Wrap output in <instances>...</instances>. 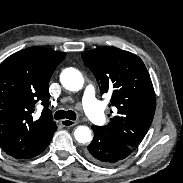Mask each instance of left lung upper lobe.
Segmentation results:
<instances>
[{
	"instance_id": "5c2ea615",
	"label": "left lung upper lobe",
	"mask_w": 183,
	"mask_h": 183,
	"mask_svg": "<svg viewBox=\"0 0 183 183\" xmlns=\"http://www.w3.org/2000/svg\"><path fill=\"white\" fill-rule=\"evenodd\" d=\"M82 59L100 84L101 94H111L109 107L115 108L110 122L100 128L108 136L136 147L155 113L154 89L143 61L115 47L85 51Z\"/></svg>"
}]
</instances>
